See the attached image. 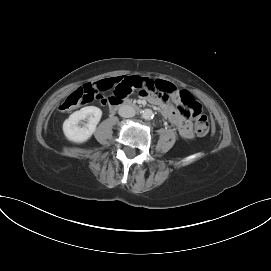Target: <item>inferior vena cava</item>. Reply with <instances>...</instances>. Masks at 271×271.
Instances as JSON below:
<instances>
[{
	"instance_id": "1",
	"label": "inferior vena cava",
	"mask_w": 271,
	"mask_h": 271,
	"mask_svg": "<svg viewBox=\"0 0 271 271\" xmlns=\"http://www.w3.org/2000/svg\"><path fill=\"white\" fill-rule=\"evenodd\" d=\"M119 115L125 118L135 116V109L130 105H122L118 111Z\"/></svg>"
}]
</instances>
